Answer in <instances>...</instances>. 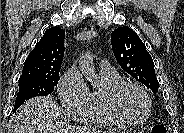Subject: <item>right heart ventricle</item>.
<instances>
[{
    "mask_svg": "<svg viewBox=\"0 0 184 133\" xmlns=\"http://www.w3.org/2000/svg\"><path fill=\"white\" fill-rule=\"evenodd\" d=\"M100 78L102 81L101 87L96 88L91 92L92 108L87 121L100 125H114L117 124V122L111 117L106 109L104 94L108 88L120 83L122 78L117 72L103 69L100 70Z\"/></svg>",
    "mask_w": 184,
    "mask_h": 133,
    "instance_id": "obj_1",
    "label": "right heart ventricle"
}]
</instances>
